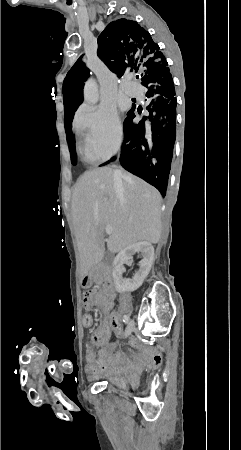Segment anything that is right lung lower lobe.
<instances>
[{
    "mask_svg": "<svg viewBox=\"0 0 241 450\" xmlns=\"http://www.w3.org/2000/svg\"><path fill=\"white\" fill-rule=\"evenodd\" d=\"M141 80L147 88L146 96L150 98L146 107L149 123L146 125L141 121L136 125L133 123L134 110L127 114L119 161L123 168L153 185L165 196L176 139L177 105L168 63L145 69ZM74 113L65 115L64 124L70 139L69 146L75 148L71 132Z\"/></svg>",
    "mask_w": 241,
    "mask_h": 450,
    "instance_id": "obj_1",
    "label": "right lung lower lobe"
}]
</instances>
